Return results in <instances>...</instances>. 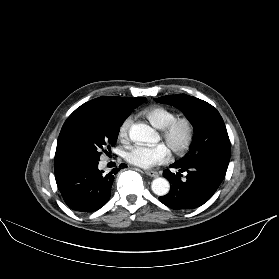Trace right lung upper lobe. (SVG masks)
Here are the masks:
<instances>
[{
  "label": "right lung upper lobe",
  "mask_w": 279,
  "mask_h": 279,
  "mask_svg": "<svg viewBox=\"0 0 279 279\" xmlns=\"http://www.w3.org/2000/svg\"><path fill=\"white\" fill-rule=\"evenodd\" d=\"M144 97H136V98H123V97H109L102 96L91 101H88L78 107L65 121L59 138L57 142V149L55 154L54 166H57L64 162L60 155V144L62 141V137L67 130V128L78 118L95 112L101 111H111L117 109H133L136 106L142 103Z\"/></svg>",
  "instance_id": "obj_1"
}]
</instances>
